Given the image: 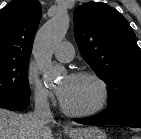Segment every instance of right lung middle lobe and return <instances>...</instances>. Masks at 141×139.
<instances>
[{"instance_id":"dd1d6c3e","label":"right lung middle lobe","mask_w":141,"mask_h":139,"mask_svg":"<svg viewBox=\"0 0 141 139\" xmlns=\"http://www.w3.org/2000/svg\"><path fill=\"white\" fill-rule=\"evenodd\" d=\"M29 59H0V97L30 96Z\"/></svg>"}]
</instances>
